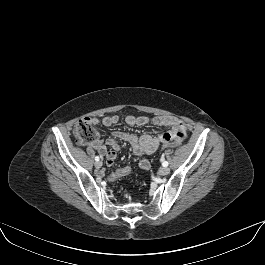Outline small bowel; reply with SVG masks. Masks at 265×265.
Returning <instances> with one entry per match:
<instances>
[{"mask_svg": "<svg viewBox=\"0 0 265 265\" xmlns=\"http://www.w3.org/2000/svg\"><path fill=\"white\" fill-rule=\"evenodd\" d=\"M89 120L91 124H102L105 127H110L119 122V117L117 115H112L103 117L102 119L91 118ZM125 121L130 126H144L148 124L150 120L146 116L129 115L126 117ZM151 122L154 125L165 126L168 129L156 136L145 134L140 137L123 131H114L112 137L108 138L105 142L98 140L93 143L92 146L105 157L106 164L112 166L116 159V152L120 148L119 140L128 142L136 155H150L153 154L165 141L177 140L181 142L187 136L186 125L174 117L156 116ZM107 147H110L111 150L108 151ZM138 166L143 170H148L150 168V163L148 160L142 159L138 162Z\"/></svg>", "mask_w": 265, "mask_h": 265, "instance_id": "c3829d8e", "label": "small bowel"}]
</instances>
